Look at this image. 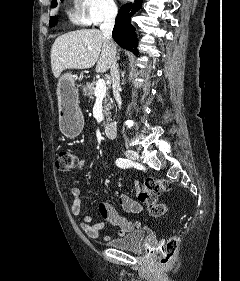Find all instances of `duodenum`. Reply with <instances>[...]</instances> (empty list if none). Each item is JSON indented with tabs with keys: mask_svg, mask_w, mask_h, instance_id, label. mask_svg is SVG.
Segmentation results:
<instances>
[{
	"mask_svg": "<svg viewBox=\"0 0 240 281\" xmlns=\"http://www.w3.org/2000/svg\"><path fill=\"white\" fill-rule=\"evenodd\" d=\"M116 132H117L116 124H114L112 122L105 124L104 133H105L106 137L113 139L116 136Z\"/></svg>",
	"mask_w": 240,
	"mask_h": 281,
	"instance_id": "obj_1",
	"label": "duodenum"
}]
</instances>
